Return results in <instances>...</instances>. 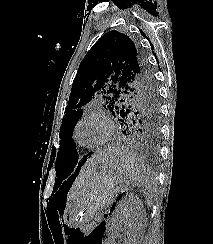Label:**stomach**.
Instances as JSON below:
<instances>
[{
    "label": "stomach",
    "instance_id": "obj_1",
    "mask_svg": "<svg viewBox=\"0 0 213 244\" xmlns=\"http://www.w3.org/2000/svg\"><path fill=\"white\" fill-rule=\"evenodd\" d=\"M107 153L106 160L87 176L64 211L63 221L67 226L81 227L89 223L122 191L128 174L124 168H117L116 150L108 149Z\"/></svg>",
    "mask_w": 213,
    "mask_h": 244
}]
</instances>
